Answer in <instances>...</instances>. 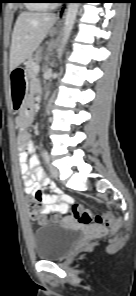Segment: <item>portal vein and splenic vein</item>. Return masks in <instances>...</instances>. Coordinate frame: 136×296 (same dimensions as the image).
Returning <instances> with one entry per match:
<instances>
[{
	"mask_svg": "<svg viewBox=\"0 0 136 296\" xmlns=\"http://www.w3.org/2000/svg\"><path fill=\"white\" fill-rule=\"evenodd\" d=\"M34 71L37 73V72H39V66L38 65H35V67H34Z\"/></svg>",
	"mask_w": 136,
	"mask_h": 296,
	"instance_id": "obj_1",
	"label": "portal vein and splenic vein"
}]
</instances>
